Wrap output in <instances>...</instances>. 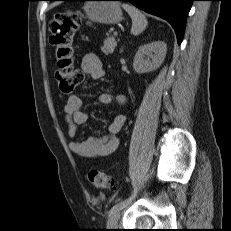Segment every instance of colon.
Returning <instances> with one entry per match:
<instances>
[{"label": "colon", "instance_id": "colon-1", "mask_svg": "<svg viewBox=\"0 0 231 231\" xmlns=\"http://www.w3.org/2000/svg\"><path fill=\"white\" fill-rule=\"evenodd\" d=\"M83 21L79 12H59L51 22L50 43L55 48L58 59L56 79L63 94H70L83 81V72L75 65L74 38ZM89 181L99 189L112 186L113 180L107 173L91 169Z\"/></svg>", "mask_w": 231, "mask_h": 231}]
</instances>
